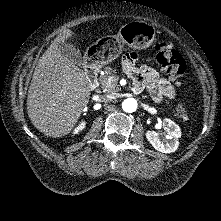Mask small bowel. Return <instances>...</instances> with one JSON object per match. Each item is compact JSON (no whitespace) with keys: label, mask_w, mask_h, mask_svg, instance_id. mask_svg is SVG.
<instances>
[{"label":"small bowel","mask_w":221,"mask_h":221,"mask_svg":"<svg viewBox=\"0 0 221 221\" xmlns=\"http://www.w3.org/2000/svg\"><path fill=\"white\" fill-rule=\"evenodd\" d=\"M137 55L126 54L124 57V69L134 81L137 89L147 88L154 100L160 101L163 98L174 99L176 92L174 82L162 78L156 70L147 65H136Z\"/></svg>","instance_id":"obj_1"}]
</instances>
